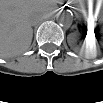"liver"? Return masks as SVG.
<instances>
[{
  "mask_svg": "<svg viewBox=\"0 0 103 103\" xmlns=\"http://www.w3.org/2000/svg\"><path fill=\"white\" fill-rule=\"evenodd\" d=\"M56 9L52 0L1 1V56L11 57L25 52L32 41L33 15L47 16Z\"/></svg>",
  "mask_w": 103,
  "mask_h": 103,
  "instance_id": "1",
  "label": "liver"
}]
</instances>
